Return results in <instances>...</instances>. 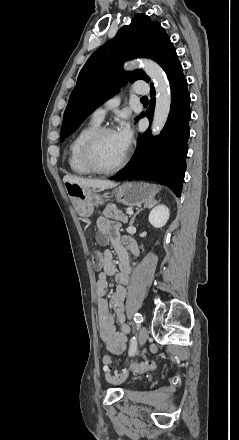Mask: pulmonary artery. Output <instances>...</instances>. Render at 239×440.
<instances>
[{
    "label": "pulmonary artery",
    "instance_id": "e3ab8cb5",
    "mask_svg": "<svg viewBox=\"0 0 239 440\" xmlns=\"http://www.w3.org/2000/svg\"><path fill=\"white\" fill-rule=\"evenodd\" d=\"M134 91L136 93H143L144 90L141 89L137 84H134ZM119 105V100L118 99H110L108 100L106 103H104L102 106L96 108L92 115H91V120L97 122V123H101L104 120L105 114L107 112L108 109L110 108H115Z\"/></svg>",
    "mask_w": 239,
    "mask_h": 440
}]
</instances>
